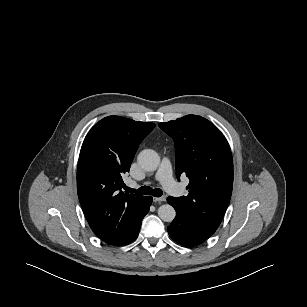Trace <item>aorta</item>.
I'll return each instance as SVG.
<instances>
[{"label": "aorta", "instance_id": "1", "mask_svg": "<svg viewBox=\"0 0 307 307\" xmlns=\"http://www.w3.org/2000/svg\"><path fill=\"white\" fill-rule=\"evenodd\" d=\"M137 160L139 165L146 171H155L160 164L158 153L152 149L141 151ZM158 216L165 222H172L176 216V211L171 205L164 204L158 208Z\"/></svg>", "mask_w": 307, "mask_h": 307}]
</instances>
